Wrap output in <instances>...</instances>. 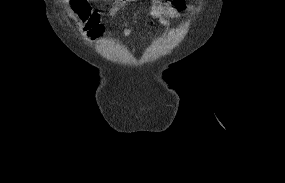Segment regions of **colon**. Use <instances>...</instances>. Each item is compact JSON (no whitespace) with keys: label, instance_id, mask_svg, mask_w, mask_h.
Returning a JSON list of instances; mask_svg holds the SVG:
<instances>
[{"label":"colon","instance_id":"5ec220e1","mask_svg":"<svg viewBox=\"0 0 285 183\" xmlns=\"http://www.w3.org/2000/svg\"><path fill=\"white\" fill-rule=\"evenodd\" d=\"M184 0H172V2L181 8ZM72 6L74 12L78 15L84 24V30L91 38L98 37L102 32L99 17L92 13L90 5L87 0H73Z\"/></svg>","mask_w":285,"mask_h":183}]
</instances>
